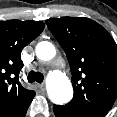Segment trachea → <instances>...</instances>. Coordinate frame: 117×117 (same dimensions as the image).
Listing matches in <instances>:
<instances>
[{
	"label": "trachea",
	"mask_w": 117,
	"mask_h": 117,
	"mask_svg": "<svg viewBox=\"0 0 117 117\" xmlns=\"http://www.w3.org/2000/svg\"><path fill=\"white\" fill-rule=\"evenodd\" d=\"M27 79H28V82L30 83L35 82V81L38 83H42L44 80V76L40 72L30 71L28 73Z\"/></svg>",
	"instance_id": "3493384b"
}]
</instances>
